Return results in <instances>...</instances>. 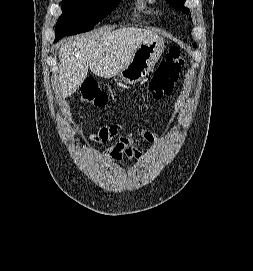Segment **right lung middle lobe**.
<instances>
[{"label": "right lung middle lobe", "mask_w": 253, "mask_h": 271, "mask_svg": "<svg viewBox=\"0 0 253 271\" xmlns=\"http://www.w3.org/2000/svg\"><path fill=\"white\" fill-rule=\"evenodd\" d=\"M118 5V0H62V15L55 29V42L66 35L93 29Z\"/></svg>", "instance_id": "right-lung-middle-lobe-1"}]
</instances>
